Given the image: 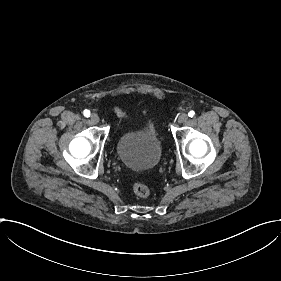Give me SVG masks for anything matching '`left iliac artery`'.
I'll return each mask as SVG.
<instances>
[{
  "instance_id": "1",
  "label": "left iliac artery",
  "mask_w": 281,
  "mask_h": 281,
  "mask_svg": "<svg viewBox=\"0 0 281 281\" xmlns=\"http://www.w3.org/2000/svg\"><path fill=\"white\" fill-rule=\"evenodd\" d=\"M194 115H195V112H194V111H190V112L188 113V116L191 117V118H192Z\"/></svg>"
}]
</instances>
